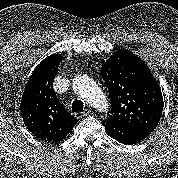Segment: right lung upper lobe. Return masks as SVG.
Listing matches in <instances>:
<instances>
[{"label": "right lung upper lobe", "mask_w": 178, "mask_h": 178, "mask_svg": "<svg viewBox=\"0 0 178 178\" xmlns=\"http://www.w3.org/2000/svg\"><path fill=\"white\" fill-rule=\"evenodd\" d=\"M62 59L60 55H51L40 62L26 84L20 104L27 129L35 137L51 143L62 141L77 123L63 108L53 89Z\"/></svg>", "instance_id": "right-lung-upper-lobe-1"}]
</instances>
